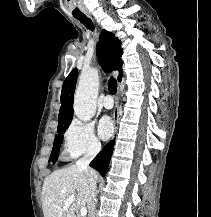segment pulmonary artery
I'll use <instances>...</instances> for the list:
<instances>
[{
    "label": "pulmonary artery",
    "mask_w": 211,
    "mask_h": 217,
    "mask_svg": "<svg viewBox=\"0 0 211 217\" xmlns=\"http://www.w3.org/2000/svg\"><path fill=\"white\" fill-rule=\"evenodd\" d=\"M102 105L105 109H112L114 105L112 97L110 95L105 96Z\"/></svg>",
    "instance_id": "1"
}]
</instances>
